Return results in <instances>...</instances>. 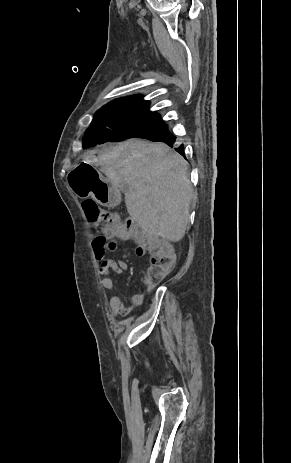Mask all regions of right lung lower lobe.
Instances as JSON below:
<instances>
[{"label":"right lung lower lobe","instance_id":"right-lung-lower-lobe-1","mask_svg":"<svg viewBox=\"0 0 291 463\" xmlns=\"http://www.w3.org/2000/svg\"><path fill=\"white\" fill-rule=\"evenodd\" d=\"M146 139L151 140V141L164 142L170 147L175 146V142H176V137L171 132H169L168 129L160 133H157L151 137H148ZM175 150L185 157L183 145L179 146L178 148H175Z\"/></svg>","mask_w":291,"mask_h":463}]
</instances>
